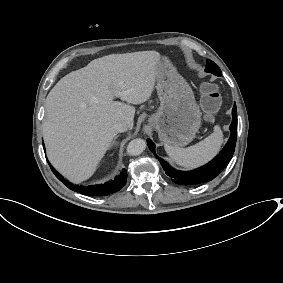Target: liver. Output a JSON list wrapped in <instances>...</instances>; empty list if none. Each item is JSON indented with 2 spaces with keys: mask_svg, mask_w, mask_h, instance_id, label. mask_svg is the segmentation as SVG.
<instances>
[{
  "mask_svg": "<svg viewBox=\"0 0 283 283\" xmlns=\"http://www.w3.org/2000/svg\"><path fill=\"white\" fill-rule=\"evenodd\" d=\"M156 51L111 54L72 71L46 98L43 137L54 168L72 183L90 178L109 149L116 123L131 129L135 107L149 99L160 58Z\"/></svg>",
  "mask_w": 283,
  "mask_h": 283,
  "instance_id": "obj_1",
  "label": "liver"
}]
</instances>
